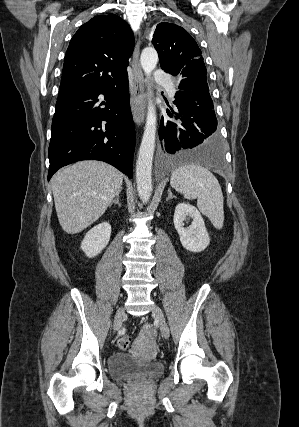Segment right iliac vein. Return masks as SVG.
Listing matches in <instances>:
<instances>
[{"label":"right iliac vein","instance_id":"right-iliac-vein-1","mask_svg":"<svg viewBox=\"0 0 299 427\" xmlns=\"http://www.w3.org/2000/svg\"><path fill=\"white\" fill-rule=\"evenodd\" d=\"M124 316H125L124 308L120 307L117 310V313H116V316L114 319V324H113V330L114 331H117L120 329Z\"/></svg>","mask_w":299,"mask_h":427}]
</instances>
